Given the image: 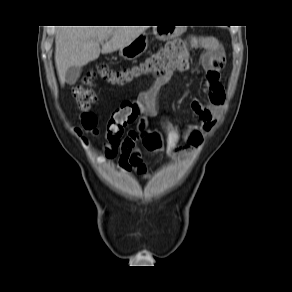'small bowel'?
Listing matches in <instances>:
<instances>
[{"instance_id": "obj_1", "label": "small bowel", "mask_w": 292, "mask_h": 292, "mask_svg": "<svg viewBox=\"0 0 292 292\" xmlns=\"http://www.w3.org/2000/svg\"><path fill=\"white\" fill-rule=\"evenodd\" d=\"M198 46L206 52L202 56V65L205 69V85L209 94V104H202L198 99H193L191 108L196 113L199 122L188 125L184 132H180L169 121H164L163 128L166 136L162 150L170 156L188 155L198 147L213 129L225 102V90L220 82V72L225 63L224 51L220 42L214 37H204L197 41ZM188 68L186 62L170 69L164 76L158 78L153 87L160 89L166 85L175 72H182ZM185 144H181V139ZM140 134L130 131L120 143L119 167L126 172H135L147 176V166L142 158L138 141Z\"/></svg>"}]
</instances>
